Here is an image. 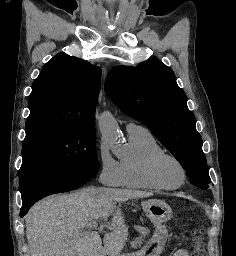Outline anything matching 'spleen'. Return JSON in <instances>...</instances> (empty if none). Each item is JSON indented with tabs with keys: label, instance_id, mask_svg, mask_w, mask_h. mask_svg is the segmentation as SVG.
<instances>
[{
	"label": "spleen",
	"instance_id": "spleen-1",
	"mask_svg": "<svg viewBox=\"0 0 236 256\" xmlns=\"http://www.w3.org/2000/svg\"><path fill=\"white\" fill-rule=\"evenodd\" d=\"M175 256H188L187 252H177Z\"/></svg>",
	"mask_w": 236,
	"mask_h": 256
}]
</instances>
